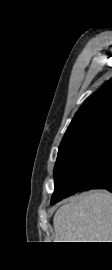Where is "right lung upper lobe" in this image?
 Segmentation results:
<instances>
[{"label":"right lung upper lobe","instance_id":"right-lung-upper-lobe-1","mask_svg":"<svg viewBox=\"0 0 112 270\" xmlns=\"http://www.w3.org/2000/svg\"><path fill=\"white\" fill-rule=\"evenodd\" d=\"M110 122L112 123V80L106 82L79 108L61 142L97 125Z\"/></svg>","mask_w":112,"mask_h":270}]
</instances>
